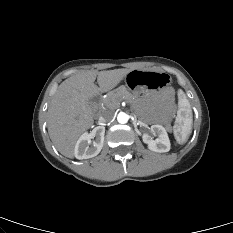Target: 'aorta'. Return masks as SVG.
<instances>
[{"label": "aorta", "mask_w": 233, "mask_h": 233, "mask_svg": "<svg viewBox=\"0 0 233 233\" xmlns=\"http://www.w3.org/2000/svg\"><path fill=\"white\" fill-rule=\"evenodd\" d=\"M117 121L121 124H125L128 122V115L124 112H120L117 116Z\"/></svg>", "instance_id": "762f6f07"}]
</instances>
